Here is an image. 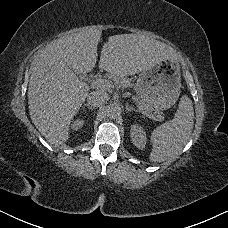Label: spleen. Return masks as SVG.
Wrapping results in <instances>:
<instances>
[{"mask_svg":"<svg viewBox=\"0 0 228 228\" xmlns=\"http://www.w3.org/2000/svg\"><path fill=\"white\" fill-rule=\"evenodd\" d=\"M194 109L188 95H182L175 118L155 127L149 134L152 146L150 162L161 163L175 160L192 134Z\"/></svg>","mask_w":228,"mask_h":228,"instance_id":"spleen-1","label":"spleen"}]
</instances>
